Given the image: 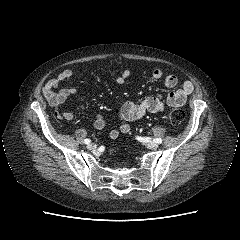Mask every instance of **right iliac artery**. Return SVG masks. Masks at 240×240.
Returning <instances> with one entry per match:
<instances>
[{
  "instance_id": "right-iliac-artery-1",
  "label": "right iliac artery",
  "mask_w": 240,
  "mask_h": 240,
  "mask_svg": "<svg viewBox=\"0 0 240 240\" xmlns=\"http://www.w3.org/2000/svg\"><path fill=\"white\" fill-rule=\"evenodd\" d=\"M84 142H85V144H89L91 142V140L90 139H85Z\"/></svg>"
}]
</instances>
